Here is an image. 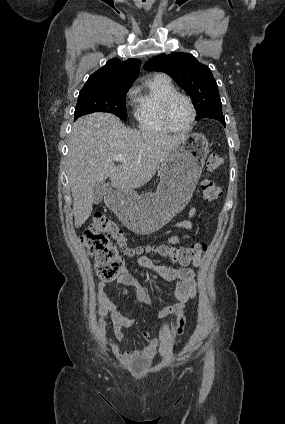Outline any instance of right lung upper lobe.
<instances>
[{"label": "right lung upper lobe", "instance_id": "cb5924a9", "mask_svg": "<svg viewBox=\"0 0 285 424\" xmlns=\"http://www.w3.org/2000/svg\"><path fill=\"white\" fill-rule=\"evenodd\" d=\"M140 64L139 59H111L88 78L83 88L131 85L139 74Z\"/></svg>", "mask_w": 285, "mask_h": 424}]
</instances>
